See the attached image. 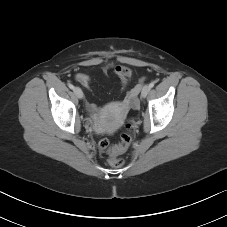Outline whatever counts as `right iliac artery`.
Listing matches in <instances>:
<instances>
[{
  "label": "right iliac artery",
  "instance_id": "right-iliac-artery-1",
  "mask_svg": "<svg viewBox=\"0 0 227 227\" xmlns=\"http://www.w3.org/2000/svg\"><path fill=\"white\" fill-rule=\"evenodd\" d=\"M70 89H74V85L73 84H69L68 85Z\"/></svg>",
  "mask_w": 227,
  "mask_h": 227
}]
</instances>
